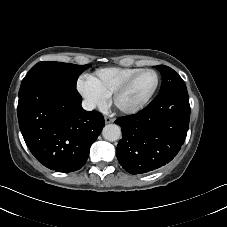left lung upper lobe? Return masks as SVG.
<instances>
[{
  "label": "left lung upper lobe",
  "mask_w": 227,
  "mask_h": 227,
  "mask_svg": "<svg viewBox=\"0 0 227 227\" xmlns=\"http://www.w3.org/2000/svg\"><path fill=\"white\" fill-rule=\"evenodd\" d=\"M162 75L160 93L170 89H187L182 78L170 67L165 65L156 66Z\"/></svg>",
  "instance_id": "5c2ea615"
}]
</instances>
